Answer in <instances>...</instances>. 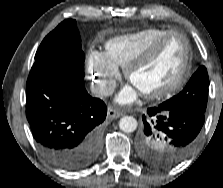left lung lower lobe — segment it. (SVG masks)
Instances as JSON below:
<instances>
[{"mask_svg":"<svg viewBox=\"0 0 223 188\" xmlns=\"http://www.w3.org/2000/svg\"><path fill=\"white\" fill-rule=\"evenodd\" d=\"M142 119L144 127L138 137L139 147L145 144L144 136L158 132L169 148L165 162L170 166L183 160L194 149L205 115L190 110L166 109L159 105L149 108Z\"/></svg>","mask_w":223,"mask_h":188,"instance_id":"0a47b994","label":"left lung lower lobe"}]
</instances>
